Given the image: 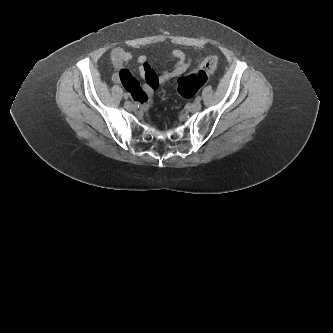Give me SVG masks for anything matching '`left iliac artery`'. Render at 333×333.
<instances>
[{
  "label": "left iliac artery",
  "instance_id": "obj_1",
  "mask_svg": "<svg viewBox=\"0 0 333 333\" xmlns=\"http://www.w3.org/2000/svg\"><path fill=\"white\" fill-rule=\"evenodd\" d=\"M197 102H200L201 101V97L200 96H198V97H196V99H195Z\"/></svg>",
  "mask_w": 333,
  "mask_h": 333
}]
</instances>
